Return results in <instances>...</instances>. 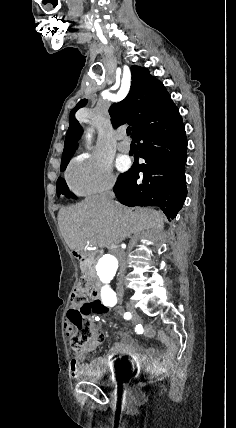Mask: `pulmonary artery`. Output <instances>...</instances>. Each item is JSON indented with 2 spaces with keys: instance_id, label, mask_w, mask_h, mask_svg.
I'll use <instances>...</instances> for the list:
<instances>
[{
  "instance_id": "obj_1",
  "label": "pulmonary artery",
  "mask_w": 236,
  "mask_h": 428,
  "mask_svg": "<svg viewBox=\"0 0 236 428\" xmlns=\"http://www.w3.org/2000/svg\"><path fill=\"white\" fill-rule=\"evenodd\" d=\"M130 149L131 145L128 141L123 140L118 144V150L122 153H128Z\"/></svg>"
}]
</instances>
